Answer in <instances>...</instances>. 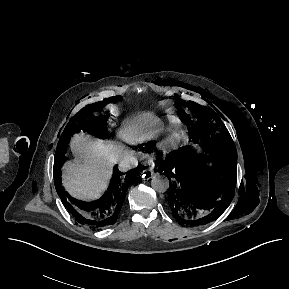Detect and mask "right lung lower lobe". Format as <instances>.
Returning a JSON list of instances; mask_svg holds the SVG:
<instances>
[{
    "label": "right lung lower lobe",
    "instance_id": "98d812e1",
    "mask_svg": "<svg viewBox=\"0 0 289 289\" xmlns=\"http://www.w3.org/2000/svg\"><path fill=\"white\" fill-rule=\"evenodd\" d=\"M66 151L63 146L57 147L54 165V183L62 203L78 223L88 228L99 230L113 225L120 217L129 186L141 180V168L138 166L124 174L115 166L109 187L101 198L90 202L75 200L61 185V167L66 160Z\"/></svg>",
    "mask_w": 289,
    "mask_h": 289
}]
</instances>
